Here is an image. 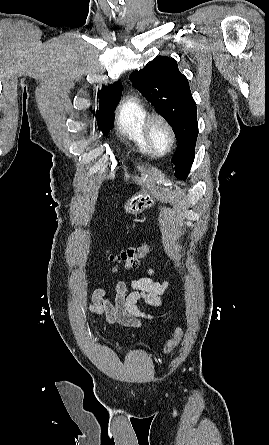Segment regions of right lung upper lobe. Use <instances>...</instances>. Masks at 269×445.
<instances>
[{
  "instance_id": "right-lung-upper-lobe-1",
  "label": "right lung upper lobe",
  "mask_w": 269,
  "mask_h": 445,
  "mask_svg": "<svg viewBox=\"0 0 269 445\" xmlns=\"http://www.w3.org/2000/svg\"><path fill=\"white\" fill-rule=\"evenodd\" d=\"M122 94V85L118 82H115L113 85L106 87L99 91V96L102 102L100 101V107H109L117 102H119Z\"/></svg>"
}]
</instances>
